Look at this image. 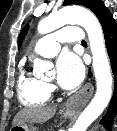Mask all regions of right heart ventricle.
Wrapping results in <instances>:
<instances>
[{"mask_svg":"<svg viewBox=\"0 0 117 131\" xmlns=\"http://www.w3.org/2000/svg\"><path fill=\"white\" fill-rule=\"evenodd\" d=\"M20 103L26 107L43 106L50 100V89L45 81L22 69L17 82Z\"/></svg>","mask_w":117,"mask_h":131,"instance_id":"e07e8e85","label":"right heart ventricle"}]
</instances>
